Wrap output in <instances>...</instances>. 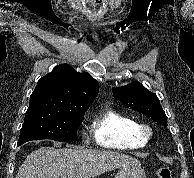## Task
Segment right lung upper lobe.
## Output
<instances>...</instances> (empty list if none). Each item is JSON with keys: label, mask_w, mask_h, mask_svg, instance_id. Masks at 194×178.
<instances>
[{"label": "right lung upper lobe", "mask_w": 194, "mask_h": 178, "mask_svg": "<svg viewBox=\"0 0 194 178\" xmlns=\"http://www.w3.org/2000/svg\"><path fill=\"white\" fill-rule=\"evenodd\" d=\"M98 90V82L88 73H79L68 64H60L38 80L30 101H49L70 110L86 111Z\"/></svg>", "instance_id": "right-lung-upper-lobe-1"}]
</instances>
